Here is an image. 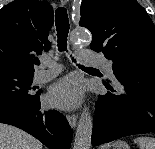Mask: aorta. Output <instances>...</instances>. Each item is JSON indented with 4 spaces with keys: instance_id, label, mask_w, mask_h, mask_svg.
<instances>
[{
    "instance_id": "aorta-1",
    "label": "aorta",
    "mask_w": 155,
    "mask_h": 149,
    "mask_svg": "<svg viewBox=\"0 0 155 149\" xmlns=\"http://www.w3.org/2000/svg\"><path fill=\"white\" fill-rule=\"evenodd\" d=\"M73 44H89L91 34L84 29L73 32L71 38ZM93 120L88 107H85L80 115L75 133L73 149H90Z\"/></svg>"
}]
</instances>
